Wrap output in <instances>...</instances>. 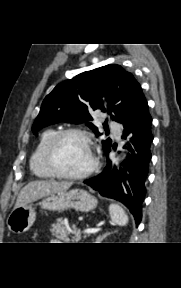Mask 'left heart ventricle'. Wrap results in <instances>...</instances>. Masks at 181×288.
<instances>
[{"mask_svg": "<svg viewBox=\"0 0 181 288\" xmlns=\"http://www.w3.org/2000/svg\"><path fill=\"white\" fill-rule=\"evenodd\" d=\"M59 166L68 173H80L91 164V154L86 142L75 135L61 140L56 151Z\"/></svg>", "mask_w": 181, "mask_h": 288, "instance_id": "left-heart-ventricle-1", "label": "left heart ventricle"}]
</instances>
